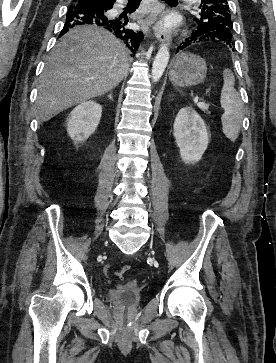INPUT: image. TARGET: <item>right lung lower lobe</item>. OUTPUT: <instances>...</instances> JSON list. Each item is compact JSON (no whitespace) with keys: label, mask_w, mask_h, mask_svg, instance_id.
I'll return each instance as SVG.
<instances>
[{"label":"right lung lower lobe","mask_w":276,"mask_h":363,"mask_svg":"<svg viewBox=\"0 0 276 363\" xmlns=\"http://www.w3.org/2000/svg\"><path fill=\"white\" fill-rule=\"evenodd\" d=\"M112 7L113 4H102L97 0L75 1V4L68 8L66 23L60 36L76 25L93 24L112 32L117 38L123 40L128 49L135 53L143 40V33L124 27V24L117 18H109L107 11Z\"/></svg>","instance_id":"obj_1"}]
</instances>
